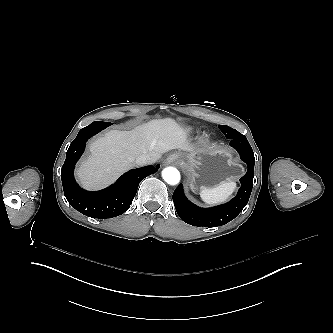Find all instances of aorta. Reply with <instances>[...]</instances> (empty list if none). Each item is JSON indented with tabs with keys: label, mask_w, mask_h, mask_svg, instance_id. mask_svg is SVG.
<instances>
[{
	"label": "aorta",
	"mask_w": 333,
	"mask_h": 333,
	"mask_svg": "<svg viewBox=\"0 0 333 333\" xmlns=\"http://www.w3.org/2000/svg\"><path fill=\"white\" fill-rule=\"evenodd\" d=\"M162 177L169 185H177L180 182V172L175 167H166L162 171Z\"/></svg>",
	"instance_id": "1"
}]
</instances>
